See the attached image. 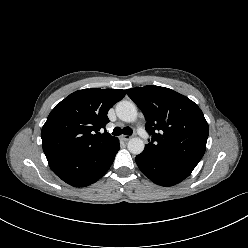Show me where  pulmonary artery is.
<instances>
[{
    "label": "pulmonary artery",
    "instance_id": "e3ab8cb5",
    "mask_svg": "<svg viewBox=\"0 0 248 248\" xmlns=\"http://www.w3.org/2000/svg\"><path fill=\"white\" fill-rule=\"evenodd\" d=\"M138 133L145 140L149 138V134H148V132L145 130V128L143 126L138 127Z\"/></svg>",
    "mask_w": 248,
    "mask_h": 248
}]
</instances>
